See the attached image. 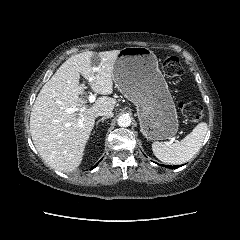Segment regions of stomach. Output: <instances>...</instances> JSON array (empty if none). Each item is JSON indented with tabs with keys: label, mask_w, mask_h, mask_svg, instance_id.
<instances>
[{
	"label": "stomach",
	"mask_w": 240,
	"mask_h": 240,
	"mask_svg": "<svg viewBox=\"0 0 240 240\" xmlns=\"http://www.w3.org/2000/svg\"><path fill=\"white\" fill-rule=\"evenodd\" d=\"M113 81L136 105L141 132L147 139L164 140L177 133L176 106L153 51L136 46L121 49L114 63Z\"/></svg>",
	"instance_id": "stomach-1"
}]
</instances>
